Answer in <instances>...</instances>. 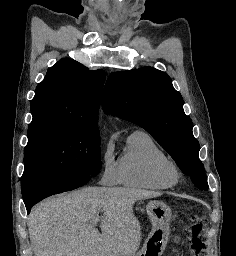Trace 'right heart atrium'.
Returning a JSON list of instances; mask_svg holds the SVG:
<instances>
[{
  "mask_svg": "<svg viewBox=\"0 0 236 256\" xmlns=\"http://www.w3.org/2000/svg\"><path fill=\"white\" fill-rule=\"evenodd\" d=\"M101 161V183L105 186H116L121 184L120 161L115 158L110 145H107L103 150Z\"/></svg>",
  "mask_w": 236,
  "mask_h": 256,
  "instance_id": "obj_1",
  "label": "right heart atrium"
}]
</instances>
